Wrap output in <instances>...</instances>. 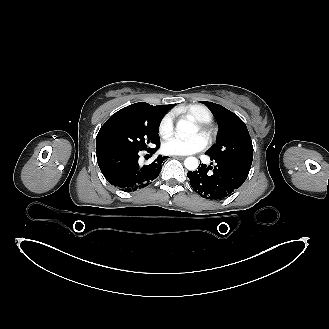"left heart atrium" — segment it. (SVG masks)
<instances>
[{
    "mask_svg": "<svg viewBox=\"0 0 329 329\" xmlns=\"http://www.w3.org/2000/svg\"><path fill=\"white\" fill-rule=\"evenodd\" d=\"M207 146L206 139L201 134L190 138L172 137L163 144L166 153L172 155H188L199 152Z\"/></svg>",
    "mask_w": 329,
    "mask_h": 329,
    "instance_id": "1",
    "label": "left heart atrium"
}]
</instances>
